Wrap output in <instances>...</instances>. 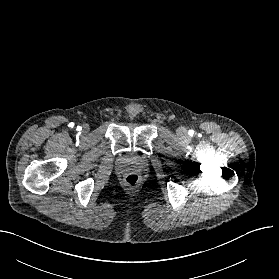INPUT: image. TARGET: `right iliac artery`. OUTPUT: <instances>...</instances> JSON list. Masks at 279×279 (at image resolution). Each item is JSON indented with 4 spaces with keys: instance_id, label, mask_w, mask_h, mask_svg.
I'll return each mask as SVG.
<instances>
[{
    "instance_id": "obj_1",
    "label": "right iliac artery",
    "mask_w": 279,
    "mask_h": 279,
    "mask_svg": "<svg viewBox=\"0 0 279 279\" xmlns=\"http://www.w3.org/2000/svg\"><path fill=\"white\" fill-rule=\"evenodd\" d=\"M77 129L80 131V130H81V127H78Z\"/></svg>"
}]
</instances>
